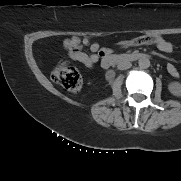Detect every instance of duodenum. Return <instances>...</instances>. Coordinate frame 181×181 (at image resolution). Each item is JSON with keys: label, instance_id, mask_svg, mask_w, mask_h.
Here are the masks:
<instances>
[{"label": "duodenum", "instance_id": "410a0bca", "mask_svg": "<svg viewBox=\"0 0 181 181\" xmlns=\"http://www.w3.org/2000/svg\"><path fill=\"white\" fill-rule=\"evenodd\" d=\"M144 56H145V54L138 53V52L123 54L120 56L105 55L102 59V62H103V65L105 67H110V66H114L116 64H125V63L130 62V61H135V60H138ZM113 76L114 75L112 72L108 73L109 79H111Z\"/></svg>", "mask_w": 181, "mask_h": 181}]
</instances>
